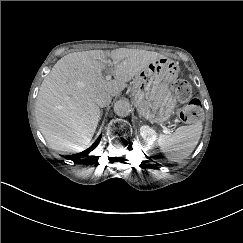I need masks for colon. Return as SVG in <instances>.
Returning a JSON list of instances; mask_svg holds the SVG:
<instances>
[{"label":"colon","instance_id":"colon-1","mask_svg":"<svg viewBox=\"0 0 243 243\" xmlns=\"http://www.w3.org/2000/svg\"><path fill=\"white\" fill-rule=\"evenodd\" d=\"M172 91L180 103H187L180 112V118L185 123H194L202 116L200 102L192 98V89L187 81L179 80L174 83Z\"/></svg>","mask_w":243,"mask_h":243}]
</instances>
